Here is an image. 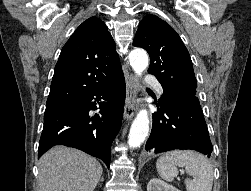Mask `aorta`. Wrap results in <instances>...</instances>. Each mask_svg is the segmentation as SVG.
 Returning a JSON list of instances; mask_svg holds the SVG:
<instances>
[{
    "mask_svg": "<svg viewBox=\"0 0 251 191\" xmlns=\"http://www.w3.org/2000/svg\"><path fill=\"white\" fill-rule=\"evenodd\" d=\"M131 68H133L136 76H142V72L148 68L149 60L145 50H132L129 56ZM149 131V115L147 109L138 111L133 123L130 127L128 135L129 147H140Z\"/></svg>",
    "mask_w": 251,
    "mask_h": 191,
    "instance_id": "762f6f07",
    "label": "aorta"
}]
</instances>
